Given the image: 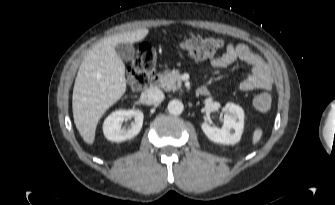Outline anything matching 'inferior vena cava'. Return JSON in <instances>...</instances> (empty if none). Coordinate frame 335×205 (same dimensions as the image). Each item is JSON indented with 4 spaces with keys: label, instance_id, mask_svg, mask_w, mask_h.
<instances>
[{
    "label": "inferior vena cava",
    "instance_id": "602c4592",
    "mask_svg": "<svg viewBox=\"0 0 335 205\" xmlns=\"http://www.w3.org/2000/svg\"><path fill=\"white\" fill-rule=\"evenodd\" d=\"M142 98L148 104H158L164 99V93L157 87H150L142 93Z\"/></svg>",
    "mask_w": 335,
    "mask_h": 205
}]
</instances>
